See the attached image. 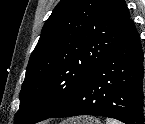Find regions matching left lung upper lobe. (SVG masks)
<instances>
[{"label": "left lung upper lobe", "instance_id": "obj_1", "mask_svg": "<svg viewBox=\"0 0 145 124\" xmlns=\"http://www.w3.org/2000/svg\"><path fill=\"white\" fill-rule=\"evenodd\" d=\"M130 22L125 0H61L30 56L15 123L40 122L66 105Z\"/></svg>", "mask_w": 145, "mask_h": 124}]
</instances>
